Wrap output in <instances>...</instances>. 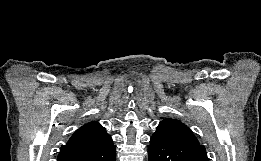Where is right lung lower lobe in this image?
Wrapping results in <instances>:
<instances>
[{"mask_svg":"<svg viewBox=\"0 0 261 161\" xmlns=\"http://www.w3.org/2000/svg\"><path fill=\"white\" fill-rule=\"evenodd\" d=\"M57 161H116L115 145L112 142L100 150L64 156Z\"/></svg>","mask_w":261,"mask_h":161,"instance_id":"obj_1","label":"right lung lower lobe"}]
</instances>
